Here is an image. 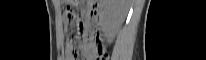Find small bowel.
Instances as JSON below:
<instances>
[{
    "label": "small bowel",
    "instance_id": "c3829d8e",
    "mask_svg": "<svg viewBox=\"0 0 206 60\" xmlns=\"http://www.w3.org/2000/svg\"><path fill=\"white\" fill-rule=\"evenodd\" d=\"M87 53L90 54V49L89 48H87ZM70 59H73V58H70Z\"/></svg>",
    "mask_w": 206,
    "mask_h": 60
}]
</instances>
